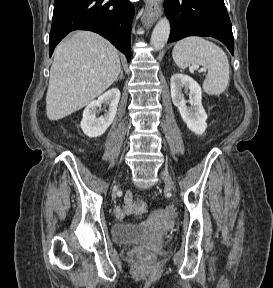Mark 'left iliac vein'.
I'll use <instances>...</instances> for the list:
<instances>
[{"label":"left iliac vein","mask_w":273,"mask_h":288,"mask_svg":"<svg viewBox=\"0 0 273 288\" xmlns=\"http://www.w3.org/2000/svg\"><path fill=\"white\" fill-rule=\"evenodd\" d=\"M160 175H161V178L163 179V181L165 182L166 186L170 190L175 191L176 190L175 185H174L171 177L169 176V174L166 172H161Z\"/></svg>","instance_id":"4c4485c4"}]
</instances>
